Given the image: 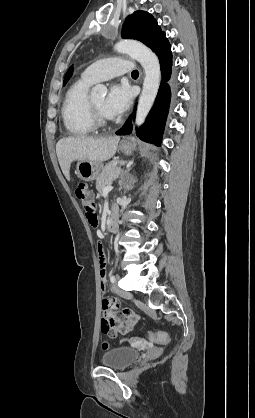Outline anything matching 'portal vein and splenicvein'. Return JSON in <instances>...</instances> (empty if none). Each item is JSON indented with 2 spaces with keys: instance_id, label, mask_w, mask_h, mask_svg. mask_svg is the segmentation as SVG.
Listing matches in <instances>:
<instances>
[{
  "instance_id": "obj_1",
  "label": "portal vein and splenic vein",
  "mask_w": 255,
  "mask_h": 418,
  "mask_svg": "<svg viewBox=\"0 0 255 418\" xmlns=\"http://www.w3.org/2000/svg\"><path fill=\"white\" fill-rule=\"evenodd\" d=\"M113 189V186L109 185L103 189V193H108Z\"/></svg>"
}]
</instances>
